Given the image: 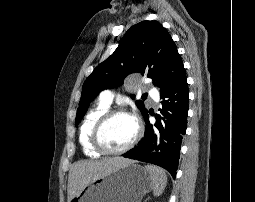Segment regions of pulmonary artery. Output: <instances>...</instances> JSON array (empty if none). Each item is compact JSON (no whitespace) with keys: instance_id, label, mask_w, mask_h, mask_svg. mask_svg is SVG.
Segmentation results:
<instances>
[{"instance_id":"pulmonary-artery-1","label":"pulmonary artery","mask_w":255,"mask_h":202,"mask_svg":"<svg viewBox=\"0 0 255 202\" xmlns=\"http://www.w3.org/2000/svg\"><path fill=\"white\" fill-rule=\"evenodd\" d=\"M148 92L150 94H155L154 89H149ZM114 98V93L110 90H105L104 92L101 93L100 99L106 104H111Z\"/></svg>"}]
</instances>
